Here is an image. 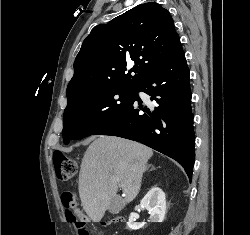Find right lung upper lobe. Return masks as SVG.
Masks as SVG:
<instances>
[{"label":"right lung upper lobe","mask_w":250,"mask_h":235,"mask_svg":"<svg viewBox=\"0 0 250 235\" xmlns=\"http://www.w3.org/2000/svg\"><path fill=\"white\" fill-rule=\"evenodd\" d=\"M173 23L168 10L149 2L94 27L75 59L68 103L101 89L137 87L169 58L180 40Z\"/></svg>","instance_id":"right-lung-upper-lobe-1"}]
</instances>
